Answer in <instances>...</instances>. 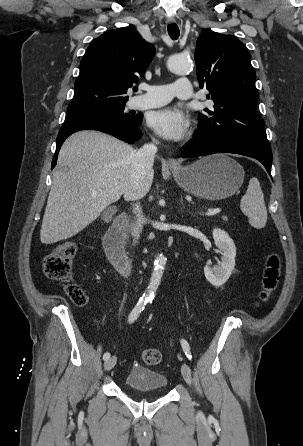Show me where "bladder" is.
<instances>
[{
	"label": "bladder",
	"mask_w": 303,
	"mask_h": 446,
	"mask_svg": "<svg viewBox=\"0 0 303 446\" xmlns=\"http://www.w3.org/2000/svg\"><path fill=\"white\" fill-rule=\"evenodd\" d=\"M124 385L137 392L164 391L168 386V379L159 371L134 366L125 376Z\"/></svg>",
	"instance_id": "obj_1"
}]
</instances>
